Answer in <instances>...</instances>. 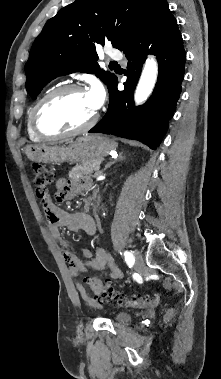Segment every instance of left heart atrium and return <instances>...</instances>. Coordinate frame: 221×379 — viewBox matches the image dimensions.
Masks as SVG:
<instances>
[{"mask_svg": "<svg viewBox=\"0 0 221 379\" xmlns=\"http://www.w3.org/2000/svg\"><path fill=\"white\" fill-rule=\"evenodd\" d=\"M85 93L94 110H97L102 106L105 100V91L99 82H92L90 88Z\"/></svg>", "mask_w": 221, "mask_h": 379, "instance_id": "39dd6f15", "label": "left heart atrium"}]
</instances>
